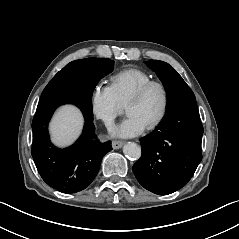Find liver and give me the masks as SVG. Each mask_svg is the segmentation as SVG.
I'll use <instances>...</instances> for the list:
<instances>
[{"mask_svg":"<svg viewBox=\"0 0 239 239\" xmlns=\"http://www.w3.org/2000/svg\"><path fill=\"white\" fill-rule=\"evenodd\" d=\"M83 123V116L78 108L72 105L60 107L49 124L52 142L58 147L72 144L80 135Z\"/></svg>","mask_w":239,"mask_h":239,"instance_id":"1","label":"liver"}]
</instances>
